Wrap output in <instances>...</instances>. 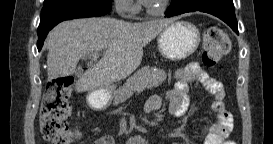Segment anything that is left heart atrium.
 <instances>
[{
    "instance_id": "39dd6f15",
    "label": "left heart atrium",
    "mask_w": 273,
    "mask_h": 144,
    "mask_svg": "<svg viewBox=\"0 0 273 144\" xmlns=\"http://www.w3.org/2000/svg\"><path fill=\"white\" fill-rule=\"evenodd\" d=\"M142 2L145 4V5H150L153 0H142Z\"/></svg>"
}]
</instances>
